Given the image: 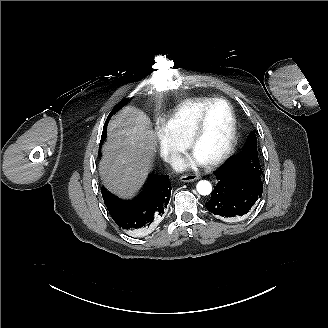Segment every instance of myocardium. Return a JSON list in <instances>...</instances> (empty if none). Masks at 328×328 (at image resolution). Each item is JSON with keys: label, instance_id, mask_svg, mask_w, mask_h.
Returning a JSON list of instances; mask_svg holds the SVG:
<instances>
[{"label": "myocardium", "instance_id": "f54148a6", "mask_svg": "<svg viewBox=\"0 0 328 328\" xmlns=\"http://www.w3.org/2000/svg\"><path fill=\"white\" fill-rule=\"evenodd\" d=\"M217 103H225L230 110L231 132H230L228 144L225 147V149L218 156L207 161V164L212 165V166L218 165V164L224 162L226 159H228L230 157V155L233 153L236 143H237V136H238L237 116H236V112H235V109H234V106L232 105V103L223 97L213 98L207 105H205L200 110L199 114L197 115V117L191 127V130H190L189 135L186 140V146L189 149L193 150L194 144L197 141L198 137L200 136V134L204 128L205 119H206V116H207L209 110Z\"/></svg>", "mask_w": 328, "mask_h": 328}]
</instances>
